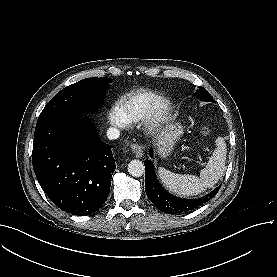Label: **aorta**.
Instances as JSON below:
<instances>
[{"instance_id":"762f6f07","label":"aorta","mask_w":277,"mask_h":277,"mask_svg":"<svg viewBox=\"0 0 277 277\" xmlns=\"http://www.w3.org/2000/svg\"><path fill=\"white\" fill-rule=\"evenodd\" d=\"M128 172L133 177H141L145 172V166L140 160H132L128 164Z\"/></svg>"}]
</instances>
